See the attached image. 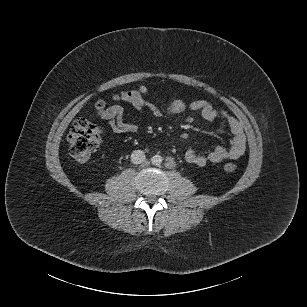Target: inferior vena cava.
Returning <instances> with one entry per match:
<instances>
[{
  "label": "inferior vena cava",
  "instance_id": "1",
  "mask_svg": "<svg viewBox=\"0 0 307 307\" xmlns=\"http://www.w3.org/2000/svg\"><path fill=\"white\" fill-rule=\"evenodd\" d=\"M145 160V153L142 150H134L131 154V161L134 164H141Z\"/></svg>",
  "mask_w": 307,
  "mask_h": 307
}]
</instances>
